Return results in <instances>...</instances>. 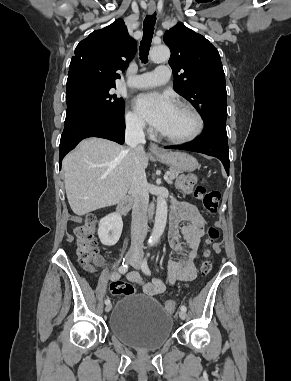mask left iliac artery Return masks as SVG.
<instances>
[{
  "label": "left iliac artery",
  "mask_w": 291,
  "mask_h": 381,
  "mask_svg": "<svg viewBox=\"0 0 291 381\" xmlns=\"http://www.w3.org/2000/svg\"><path fill=\"white\" fill-rule=\"evenodd\" d=\"M150 255V253L147 254V257ZM142 271L147 274V275H150L151 274V271L149 269V266H148V263H147V258L144 259L143 263H142ZM181 310L183 311H186L187 310V307L185 305H181L180 307Z\"/></svg>",
  "instance_id": "1"
}]
</instances>
